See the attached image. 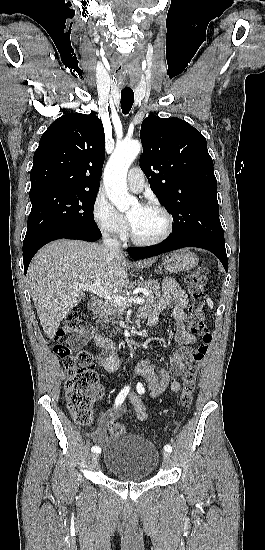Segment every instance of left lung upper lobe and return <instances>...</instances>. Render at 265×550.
<instances>
[{"label":"left lung upper lobe","mask_w":265,"mask_h":550,"mask_svg":"<svg viewBox=\"0 0 265 550\" xmlns=\"http://www.w3.org/2000/svg\"><path fill=\"white\" fill-rule=\"evenodd\" d=\"M140 167L172 214L171 239L201 236L224 242L217 181L205 137L179 118L151 114L141 124Z\"/></svg>","instance_id":"left-lung-upper-lobe-1"}]
</instances>
